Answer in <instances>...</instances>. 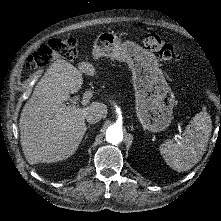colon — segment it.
<instances>
[{
	"instance_id": "1",
	"label": "colon",
	"mask_w": 221,
	"mask_h": 221,
	"mask_svg": "<svg viewBox=\"0 0 221 221\" xmlns=\"http://www.w3.org/2000/svg\"><path fill=\"white\" fill-rule=\"evenodd\" d=\"M141 41L144 47L158 53L159 57L165 60H180L188 52V49L177 46L152 33L145 34ZM77 53V40L74 37L53 39L27 57L25 69L31 72L57 59L71 60L77 57Z\"/></svg>"
}]
</instances>
